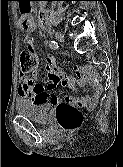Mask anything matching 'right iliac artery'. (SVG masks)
<instances>
[{
	"label": "right iliac artery",
	"mask_w": 123,
	"mask_h": 167,
	"mask_svg": "<svg viewBox=\"0 0 123 167\" xmlns=\"http://www.w3.org/2000/svg\"><path fill=\"white\" fill-rule=\"evenodd\" d=\"M49 46L51 49H57L58 48V43L56 41H50Z\"/></svg>",
	"instance_id": "right-iliac-artery-1"
}]
</instances>
